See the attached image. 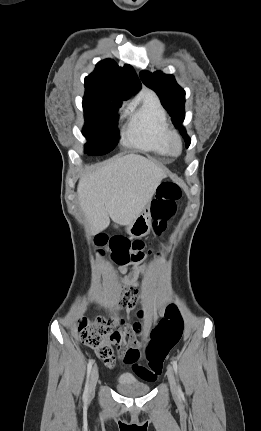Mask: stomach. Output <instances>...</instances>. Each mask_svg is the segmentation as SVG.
Instances as JSON below:
<instances>
[{"label":"stomach","instance_id":"obj_1","mask_svg":"<svg viewBox=\"0 0 261 431\" xmlns=\"http://www.w3.org/2000/svg\"><path fill=\"white\" fill-rule=\"evenodd\" d=\"M151 228V215L149 206L145 207L141 214L132 221L130 224L126 225V231L129 235L134 238H140L147 235Z\"/></svg>","mask_w":261,"mask_h":431}]
</instances>
